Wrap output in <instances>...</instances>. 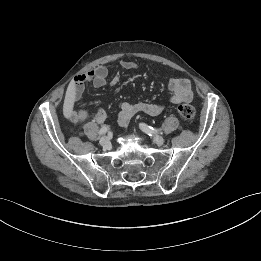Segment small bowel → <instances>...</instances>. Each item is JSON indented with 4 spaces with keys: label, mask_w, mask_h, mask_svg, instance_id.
<instances>
[{
    "label": "small bowel",
    "mask_w": 261,
    "mask_h": 261,
    "mask_svg": "<svg viewBox=\"0 0 261 261\" xmlns=\"http://www.w3.org/2000/svg\"><path fill=\"white\" fill-rule=\"evenodd\" d=\"M138 65L129 60L120 63V69L134 70ZM108 69L104 65H99L88 72L77 76L67 90L68 103L73 107L82 97L85 85L89 82L96 88H102L107 84ZM119 72L112 78L109 85L114 86L119 82ZM168 89L171 92L169 101L173 104H181L191 102L193 92L191 82L186 78H170L168 80ZM164 110V104L158 103H129L123 102L120 106L117 119L121 126H126L130 120L139 113L149 116H156ZM110 118V115L103 109H98L95 113L94 120L98 124H104ZM70 121L77 122L76 113L72 109L70 113Z\"/></svg>",
    "instance_id": "c3829d8e"
}]
</instances>
